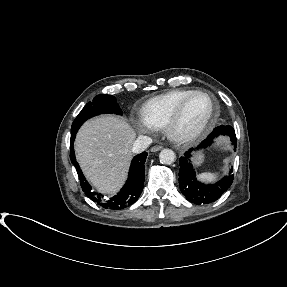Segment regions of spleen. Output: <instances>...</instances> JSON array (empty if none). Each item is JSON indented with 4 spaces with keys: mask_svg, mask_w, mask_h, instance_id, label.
Segmentation results:
<instances>
[{
    "mask_svg": "<svg viewBox=\"0 0 287 287\" xmlns=\"http://www.w3.org/2000/svg\"><path fill=\"white\" fill-rule=\"evenodd\" d=\"M218 173L204 172L201 173L198 177L201 181L212 182L217 178Z\"/></svg>",
    "mask_w": 287,
    "mask_h": 287,
    "instance_id": "obj_1",
    "label": "spleen"
}]
</instances>
